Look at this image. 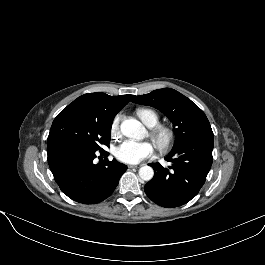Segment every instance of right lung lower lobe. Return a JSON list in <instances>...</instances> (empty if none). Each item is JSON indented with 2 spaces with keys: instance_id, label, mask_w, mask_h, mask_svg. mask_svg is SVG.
<instances>
[{
  "instance_id": "1",
  "label": "right lung lower lobe",
  "mask_w": 265,
  "mask_h": 265,
  "mask_svg": "<svg viewBox=\"0 0 265 265\" xmlns=\"http://www.w3.org/2000/svg\"><path fill=\"white\" fill-rule=\"evenodd\" d=\"M97 152L73 141L47 144L48 164L55 181L62 192L76 202L95 204L103 201L111 195L127 169L115 159L94 164ZM99 152L109 154L104 150Z\"/></svg>"
}]
</instances>
